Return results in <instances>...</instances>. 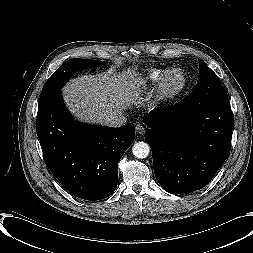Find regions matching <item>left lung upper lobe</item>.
Here are the masks:
<instances>
[{
	"mask_svg": "<svg viewBox=\"0 0 253 253\" xmlns=\"http://www.w3.org/2000/svg\"><path fill=\"white\" fill-rule=\"evenodd\" d=\"M199 62V78L195 90L191 93L200 102L207 101L217 90L223 88L217 76L202 61Z\"/></svg>",
	"mask_w": 253,
	"mask_h": 253,
	"instance_id": "1",
	"label": "left lung upper lobe"
}]
</instances>
